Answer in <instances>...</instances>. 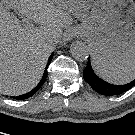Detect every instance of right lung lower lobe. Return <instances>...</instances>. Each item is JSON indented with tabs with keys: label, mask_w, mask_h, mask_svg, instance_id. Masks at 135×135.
Here are the masks:
<instances>
[{
	"label": "right lung lower lobe",
	"mask_w": 135,
	"mask_h": 135,
	"mask_svg": "<svg viewBox=\"0 0 135 135\" xmlns=\"http://www.w3.org/2000/svg\"><path fill=\"white\" fill-rule=\"evenodd\" d=\"M53 54H54V53H52V54L50 55L47 66H49L50 61H51L52 58H53ZM47 73H48V72H47V69H45L42 79L40 80V82L38 83V85H37L34 89H32L30 92H28V93H26V94H23V95H20V96H14L13 98H14V99H17V100H24V99H27V98L31 97V96H32L33 94H35V93L40 89V87L44 84V82L46 81V78H47Z\"/></svg>",
	"instance_id": "obj_1"
}]
</instances>
